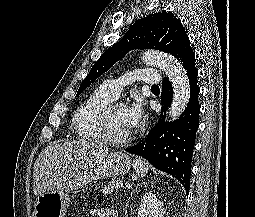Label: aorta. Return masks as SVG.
Returning <instances> with one entry per match:
<instances>
[{"instance_id": "obj_1", "label": "aorta", "mask_w": 255, "mask_h": 217, "mask_svg": "<svg viewBox=\"0 0 255 217\" xmlns=\"http://www.w3.org/2000/svg\"><path fill=\"white\" fill-rule=\"evenodd\" d=\"M142 60L148 65H154L162 69L173 86V99L168 110V119H177L190 99V85L186 71L172 56L159 51H146Z\"/></svg>"}]
</instances>
